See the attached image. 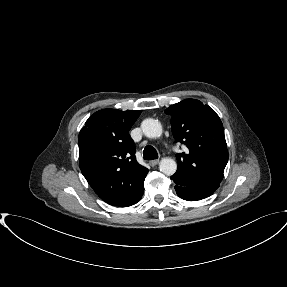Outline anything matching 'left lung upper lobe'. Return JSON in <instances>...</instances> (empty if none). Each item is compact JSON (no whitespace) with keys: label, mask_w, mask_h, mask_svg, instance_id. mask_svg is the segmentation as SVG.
I'll use <instances>...</instances> for the list:
<instances>
[{"label":"left lung upper lobe","mask_w":287,"mask_h":287,"mask_svg":"<svg viewBox=\"0 0 287 287\" xmlns=\"http://www.w3.org/2000/svg\"><path fill=\"white\" fill-rule=\"evenodd\" d=\"M171 116L176 142L188 151L177 153L178 168L171 179L191 188L219 187L228 162L222 122L208 105L185 99L165 110Z\"/></svg>","instance_id":"obj_1"}]
</instances>
